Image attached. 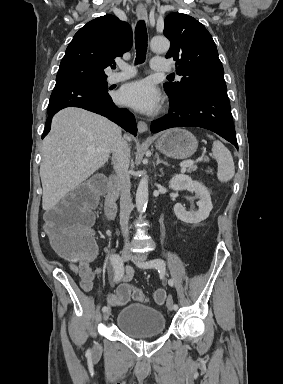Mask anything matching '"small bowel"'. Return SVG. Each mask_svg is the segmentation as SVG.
<instances>
[{
	"mask_svg": "<svg viewBox=\"0 0 283 384\" xmlns=\"http://www.w3.org/2000/svg\"><path fill=\"white\" fill-rule=\"evenodd\" d=\"M71 270L79 277L80 279V285L81 288L84 291H90L92 290L94 286V281L98 279L99 281L103 282V269L102 268H96L92 269L89 265V260L87 261H79L77 263H70ZM134 270L131 266H126L125 273L121 277L120 280H115L114 275V282L116 284H123L126 285V283L130 282L133 278Z\"/></svg>",
	"mask_w": 283,
	"mask_h": 384,
	"instance_id": "c3829d8e",
	"label": "small bowel"
}]
</instances>
